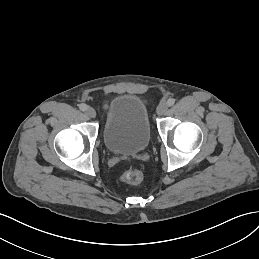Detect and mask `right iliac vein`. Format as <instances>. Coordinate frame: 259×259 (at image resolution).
Here are the masks:
<instances>
[{
	"label": "right iliac vein",
	"mask_w": 259,
	"mask_h": 259,
	"mask_svg": "<svg viewBox=\"0 0 259 259\" xmlns=\"http://www.w3.org/2000/svg\"><path fill=\"white\" fill-rule=\"evenodd\" d=\"M86 114L90 118H95L96 117V112H95V110L92 107H87Z\"/></svg>",
	"instance_id": "obj_1"
}]
</instances>
